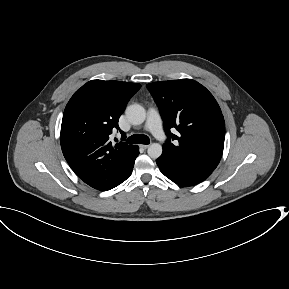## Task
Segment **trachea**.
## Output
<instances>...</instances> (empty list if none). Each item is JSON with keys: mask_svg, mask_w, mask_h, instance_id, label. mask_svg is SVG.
<instances>
[{"mask_svg": "<svg viewBox=\"0 0 289 289\" xmlns=\"http://www.w3.org/2000/svg\"><path fill=\"white\" fill-rule=\"evenodd\" d=\"M127 143H130V144H140V143L141 144H149L150 139L146 135L134 134L127 139Z\"/></svg>", "mask_w": 289, "mask_h": 289, "instance_id": "trachea-1", "label": "trachea"}]
</instances>
